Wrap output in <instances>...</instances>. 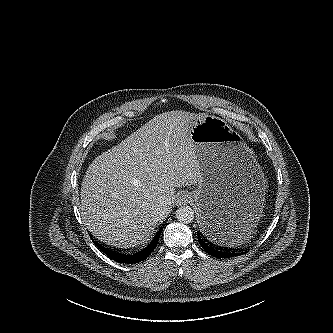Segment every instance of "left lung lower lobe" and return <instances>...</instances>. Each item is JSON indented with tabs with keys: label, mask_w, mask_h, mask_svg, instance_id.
I'll use <instances>...</instances> for the list:
<instances>
[{
	"label": "left lung lower lobe",
	"mask_w": 333,
	"mask_h": 333,
	"mask_svg": "<svg viewBox=\"0 0 333 333\" xmlns=\"http://www.w3.org/2000/svg\"><path fill=\"white\" fill-rule=\"evenodd\" d=\"M233 226L228 224L224 216L215 215L208 220L205 224L203 233L197 232L198 241L201 247L208 254L217 258H230L238 256L240 253L238 250L223 246H218L215 242H221L227 235V232L234 230Z\"/></svg>",
	"instance_id": "left-lung-lower-lobe-1"
}]
</instances>
